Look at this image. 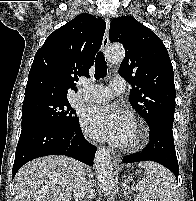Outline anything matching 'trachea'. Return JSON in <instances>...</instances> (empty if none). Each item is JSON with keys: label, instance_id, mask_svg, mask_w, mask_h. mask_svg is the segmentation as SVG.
I'll return each mask as SVG.
<instances>
[{"label": "trachea", "instance_id": "trachea-1", "mask_svg": "<svg viewBox=\"0 0 196 201\" xmlns=\"http://www.w3.org/2000/svg\"><path fill=\"white\" fill-rule=\"evenodd\" d=\"M106 75H107V62L105 61L103 53L100 51L97 53L96 56L94 77L96 79H100L105 77Z\"/></svg>", "mask_w": 196, "mask_h": 201}]
</instances>
